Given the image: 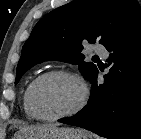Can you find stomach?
Returning <instances> with one entry per match:
<instances>
[{"mask_svg": "<svg viewBox=\"0 0 141 139\" xmlns=\"http://www.w3.org/2000/svg\"><path fill=\"white\" fill-rule=\"evenodd\" d=\"M13 139H92V137L82 129L48 126L19 133Z\"/></svg>", "mask_w": 141, "mask_h": 139, "instance_id": "stomach-1", "label": "stomach"}]
</instances>
